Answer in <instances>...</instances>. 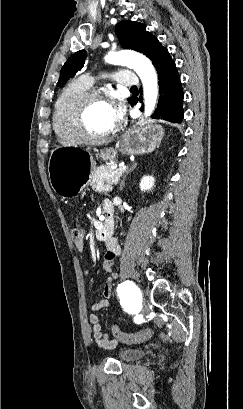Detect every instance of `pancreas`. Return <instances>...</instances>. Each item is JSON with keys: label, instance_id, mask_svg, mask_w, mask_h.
I'll return each mask as SVG.
<instances>
[{"label": "pancreas", "instance_id": "obj_1", "mask_svg": "<svg viewBox=\"0 0 243 409\" xmlns=\"http://www.w3.org/2000/svg\"><path fill=\"white\" fill-rule=\"evenodd\" d=\"M113 164L101 165L95 168L89 178V184L93 188L98 189L102 184H116L122 173H117V169L112 168Z\"/></svg>", "mask_w": 243, "mask_h": 409}]
</instances>
